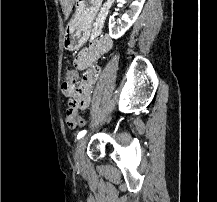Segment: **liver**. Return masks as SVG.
I'll return each instance as SVG.
<instances>
[{
    "label": "liver",
    "instance_id": "liver-1",
    "mask_svg": "<svg viewBox=\"0 0 217 202\" xmlns=\"http://www.w3.org/2000/svg\"><path fill=\"white\" fill-rule=\"evenodd\" d=\"M60 4L63 8L65 20H67V18H69L72 12V8L75 4V0H60Z\"/></svg>",
    "mask_w": 217,
    "mask_h": 202
}]
</instances>
